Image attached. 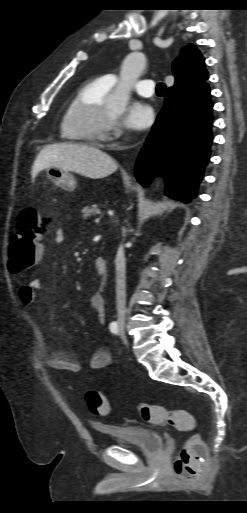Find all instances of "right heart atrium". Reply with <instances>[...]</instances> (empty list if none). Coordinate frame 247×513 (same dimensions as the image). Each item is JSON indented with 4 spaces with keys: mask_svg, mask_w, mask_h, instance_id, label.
<instances>
[{
    "mask_svg": "<svg viewBox=\"0 0 247 513\" xmlns=\"http://www.w3.org/2000/svg\"><path fill=\"white\" fill-rule=\"evenodd\" d=\"M114 132H115L116 134H119L121 131H120L117 127H114Z\"/></svg>",
    "mask_w": 247,
    "mask_h": 513,
    "instance_id": "right-heart-atrium-1",
    "label": "right heart atrium"
}]
</instances>
